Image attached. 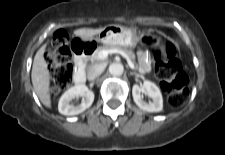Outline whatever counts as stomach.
Wrapping results in <instances>:
<instances>
[{
	"instance_id": "0dacf381",
	"label": "stomach",
	"mask_w": 225,
	"mask_h": 155,
	"mask_svg": "<svg viewBox=\"0 0 225 155\" xmlns=\"http://www.w3.org/2000/svg\"><path fill=\"white\" fill-rule=\"evenodd\" d=\"M97 39L106 45L119 44L121 46L135 47L137 43L144 46L153 44L156 36L151 31L137 34L131 29L110 25L98 34Z\"/></svg>"
}]
</instances>
